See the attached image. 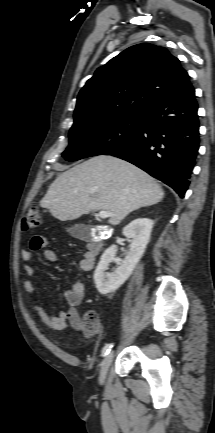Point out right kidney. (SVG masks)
Instances as JSON below:
<instances>
[{
    "mask_svg": "<svg viewBox=\"0 0 215 433\" xmlns=\"http://www.w3.org/2000/svg\"><path fill=\"white\" fill-rule=\"evenodd\" d=\"M153 225V220L149 218H137L123 229L124 236L131 238L132 242L123 263L112 275H107L105 271L114 260L116 245L104 251L94 272L96 287L102 295L116 291L132 274L149 243Z\"/></svg>",
    "mask_w": 215,
    "mask_h": 433,
    "instance_id": "right-kidney-1",
    "label": "right kidney"
}]
</instances>
